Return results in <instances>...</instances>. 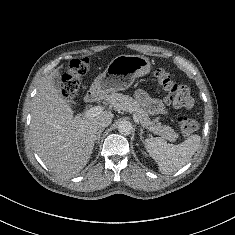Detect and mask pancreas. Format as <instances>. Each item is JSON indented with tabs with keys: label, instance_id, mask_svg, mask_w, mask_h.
Segmentation results:
<instances>
[{
	"label": "pancreas",
	"instance_id": "cf45deb5",
	"mask_svg": "<svg viewBox=\"0 0 235 235\" xmlns=\"http://www.w3.org/2000/svg\"><path fill=\"white\" fill-rule=\"evenodd\" d=\"M106 100L116 110L135 113L142 126L154 134L160 135L169 141H175L178 138V134L175 133L174 129L170 126L162 125L158 122V119L151 121L147 112L144 111L140 104L129 95L113 92L106 97Z\"/></svg>",
	"mask_w": 235,
	"mask_h": 235
}]
</instances>
